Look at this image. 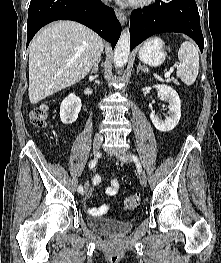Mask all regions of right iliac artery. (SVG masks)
<instances>
[{
    "instance_id": "obj_1",
    "label": "right iliac artery",
    "mask_w": 221,
    "mask_h": 263,
    "mask_svg": "<svg viewBox=\"0 0 221 263\" xmlns=\"http://www.w3.org/2000/svg\"><path fill=\"white\" fill-rule=\"evenodd\" d=\"M97 164V159H93L90 163H89V168H94ZM83 191V187L80 185L78 187V192L81 193Z\"/></svg>"
}]
</instances>
